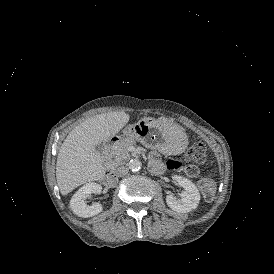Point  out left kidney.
I'll use <instances>...</instances> for the list:
<instances>
[{
    "instance_id": "1",
    "label": "left kidney",
    "mask_w": 274,
    "mask_h": 274,
    "mask_svg": "<svg viewBox=\"0 0 274 274\" xmlns=\"http://www.w3.org/2000/svg\"><path fill=\"white\" fill-rule=\"evenodd\" d=\"M172 178L184 188V191L180 194L181 199H176L172 194H168L166 196L167 205L172 210L180 213H187L197 208L200 193L195 184L182 176L174 175Z\"/></svg>"
}]
</instances>
